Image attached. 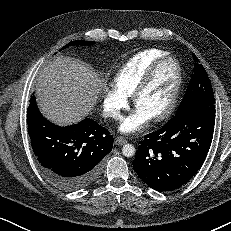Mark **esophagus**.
Here are the masks:
<instances>
[{
  "mask_svg": "<svg viewBox=\"0 0 231 231\" xmlns=\"http://www.w3.org/2000/svg\"><path fill=\"white\" fill-rule=\"evenodd\" d=\"M125 143H127V140L124 137L120 136L115 139L116 145H124Z\"/></svg>",
  "mask_w": 231,
  "mask_h": 231,
  "instance_id": "34e87169",
  "label": "esophagus"
}]
</instances>
